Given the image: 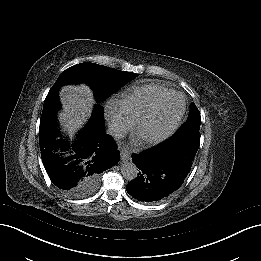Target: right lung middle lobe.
Segmentation results:
<instances>
[{
	"label": "right lung middle lobe",
	"instance_id": "1",
	"mask_svg": "<svg viewBox=\"0 0 261 261\" xmlns=\"http://www.w3.org/2000/svg\"><path fill=\"white\" fill-rule=\"evenodd\" d=\"M132 72L120 71L95 63H80L65 70L57 79L54 86L67 83L86 82L94 90L96 99L100 101L115 92L127 81L135 77ZM85 187L82 182L75 195H78Z\"/></svg>",
	"mask_w": 261,
	"mask_h": 261
}]
</instances>
